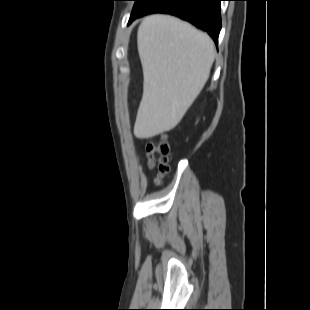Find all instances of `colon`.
I'll return each mask as SVG.
<instances>
[{
  "instance_id": "1",
  "label": "colon",
  "mask_w": 310,
  "mask_h": 310,
  "mask_svg": "<svg viewBox=\"0 0 310 310\" xmlns=\"http://www.w3.org/2000/svg\"><path fill=\"white\" fill-rule=\"evenodd\" d=\"M169 152V144L165 138H161L156 142L149 141L146 144L145 153L148 166L157 172V183L159 182L160 177L169 171Z\"/></svg>"
}]
</instances>
